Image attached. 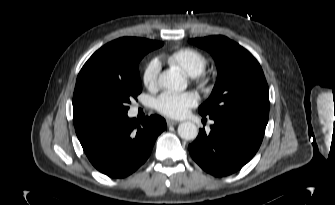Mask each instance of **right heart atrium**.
Returning <instances> with one entry per match:
<instances>
[{"label": "right heart atrium", "instance_id": "right-heart-atrium-1", "mask_svg": "<svg viewBox=\"0 0 335 205\" xmlns=\"http://www.w3.org/2000/svg\"><path fill=\"white\" fill-rule=\"evenodd\" d=\"M159 72L160 62L157 59H152L145 66L142 75V81L148 89L153 90L157 87Z\"/></svg>", "mask_w": 335, "mask_h": 205}]
</instances>
